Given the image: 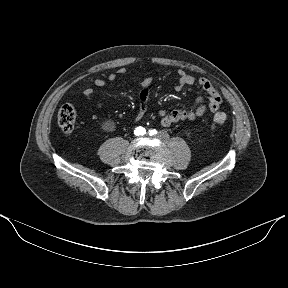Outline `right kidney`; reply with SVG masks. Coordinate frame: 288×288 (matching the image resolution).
<instances>
[{
  "instance_id": "ca27d5eb",
  "label": "right kidney",
  "mask_w": 288,
  "mask_h": 288,
  "mask_svg": "<svg viewBox=\"0 0 288 288\" xmlns=\"http://www.w3.org/2000/svg\"><path fill=\"white\" fill-rule=\"evenodd\" d=\"M103 127H104V128H107L106 124H105V125H103Z\"/></svg>"
}]
</instances>
